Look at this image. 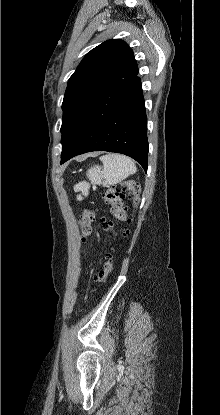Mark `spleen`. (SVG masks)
<instances>
[{
	"label": "spleen",
	"mask_w": 220,
	"mask_h": 415,
	"mask_svg": "<svg viewBox=\"0 0 220 415\" xmlns=\"http://www.w3.org/2000/svg\"><path fill=\"white\" fill-rule=\"evenodd\" d=\"M102 166L95 165L90 168L86 175L91 181V184L96 185H115L137 171L135 162L124 155L107 154L100 158ZM90 183L86 181L79 182L74 186V191L81 192L82 195L87 196L89 193ZM78 195L77 199L82 200V196Z\"/></svg>",
	"instance_id": "3e777b00"
}]
</instances>
